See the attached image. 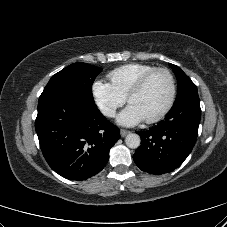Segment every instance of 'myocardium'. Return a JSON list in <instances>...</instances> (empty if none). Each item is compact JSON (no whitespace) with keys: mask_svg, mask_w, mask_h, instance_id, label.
Wrapping results in <instances>:
<instances>
[{"mask_svg":"<svg viewBox=\"0 0 227 227\" xmlns=\"http://www.w3.org/2000/svg\"><path fill=\"white\" fill-rule=\"evenodd\" d=\"M158 72H163L165 73L170 81V96L169 99L166 103V105L164 106V108L158 112L156 115L144 119L146 123H155L160 121L162 118H164L168 112L172 109L175 100H176V95H177V84H176V79L174 74L172 73V71L166 67H155L152 70L146 72L145 74H143L134 84L133 86L130 88V90L128 91L127 95H126V99L127 102L130 103V99L133 95H135L136 93H138L139 91H141L143 89V87L146 85V83L148 82V80L156 73Z\"/></svg>","mask_w":227,"mask_h":227,"instance_id":"f54148a6","label":"myocardium"}]
</instances>
